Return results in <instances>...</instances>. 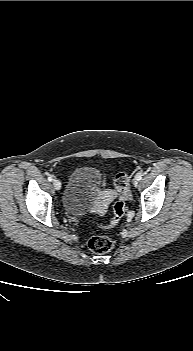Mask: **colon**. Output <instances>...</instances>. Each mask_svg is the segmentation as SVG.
I'll return each instance as SVG.
<instances>
[{
	"mask_svg": "<svg viewBox=\"0 0 193 351\" xmlns=\"http://www.w3.org/2000/svg\"><path fill=\"white\" fill-rule=\"evenodd\" d=\"M130 175L125 172H120L114 179V195L117 201L114 205V215L109 224H100V229H108L116 226L122 219L125 211V198L129 191ZM88 247L91 251L101 254L108 252L113 247V241L105 235L92 236L88 240Z\"/></svg>",
	"mask_w": 193,
	"mask_h": 351,
	"instance_id": "obj_1",
	"label": "colon"
}]
</instances>
